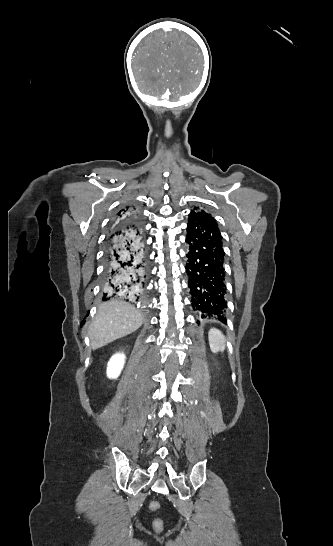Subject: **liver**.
<instances>
[{
    "label": "liver",
    "instance_id": "1",
    "mask_svg": "<svg viewBox=\"0 0 333 546\" xmlns=\"http://www.w3.org/2000/svg\"><path fill=\"white\" fill-rule=\"evenodd\" d=\"M143 321L141 312L124 301L102 303L89 327L92 349L96 350L133 333Z\"/></svg>",
    "mask_w": 333,
    "mask_h": 546
}]
</instances>
